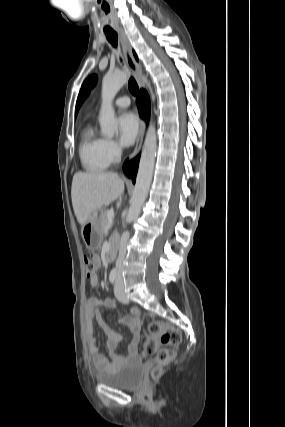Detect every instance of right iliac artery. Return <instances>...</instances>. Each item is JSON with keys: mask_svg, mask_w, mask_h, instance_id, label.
Here are the masks:
<instances>
[{"mask_svg": "<svg viewBox=\"0 0 285 427\" xmlns=\"http://www.w3.org/2000/svg\"><path fill=\"white\" fill-rule=\"evenodd\" d=\"M117 277V270L116 269H112L109 275V280L111 283H114Z\"/></svg>", "mask_w": 285, "mask_h": 427, "instance_id": "1", "label": "right iliac artery"}]
</instances>
